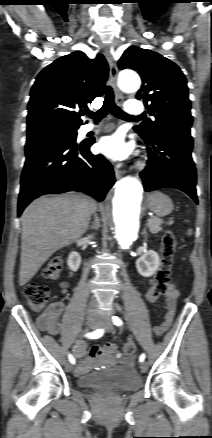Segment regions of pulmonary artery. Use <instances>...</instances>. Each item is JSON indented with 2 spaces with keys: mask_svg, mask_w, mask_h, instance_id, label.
Here are the masks:
<instances>
[{
  "mask_svg": "<svg viewBox=\"0 0 212 438\" xmlns=\"http://www.w3.org/2000/svg\"><path fill=\"white\" fill-rule=\"evenodd\" d=\"M125 110H126V112L129 113V114H140V113H142L143 110H144V105H143V103L140 102V101H137V100H129V101L126 103ZM100 125H101V124H92V123L87 124V125L84 126L83 131H84V132L92 131V130H94V129L100 127Z\"/></svg>",
  "mask_w": 212,
  "mask_h": 438,
  "instance_id": "1",
  "label": "pulmonary artery"
}]
</instances>
